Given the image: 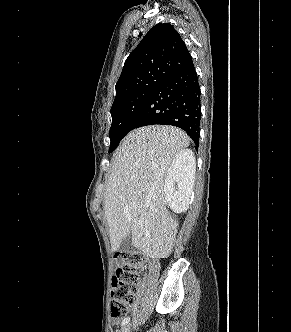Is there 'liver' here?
Here are the masks:
<instances>
[{"instance_id": "liver-1", "label": "liver", "mask_w": 291, "mask_h": 332, "mask_svg": "<svg viewBox=\"0 0 291 332\" xmlns=\"http://www.w3.org/2000/svg\"><path fill=\"white\" fill-rule=\"evenodd\" d=\"M190 144L173 126H145L130 132L115 152L104 211L111 247L132 245L148 257L166 258L174 247L177 222L166 208L164 185L176 156Z\"/></svg>"}]
</instances>
